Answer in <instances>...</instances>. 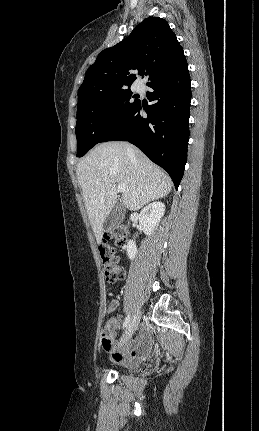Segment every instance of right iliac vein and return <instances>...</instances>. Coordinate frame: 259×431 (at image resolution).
Segmentation results:
<instances>
[{"mask_svg":"<svg viewBox=\"0 0 259 431\" xmlns=\"http://www.w3.org/2000/svg\"><path fill=\"white\" fill-rule=\"evenodd\" d=\"M140 318H141V313L140 311H138L133 318L131 319L130 323L128 324L122 338H121V342L125 343L126 341H128L131 336L133 335L134 331L137 329L138 324L140 322Z\"/></svg>","mask_w":259,"mask_h":431,"instance_id":"63e3f726","label":"right iliac vein"}]
</instances>
